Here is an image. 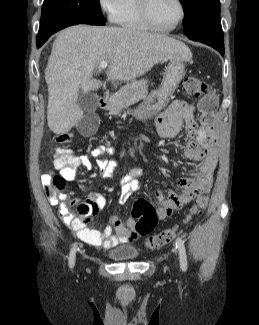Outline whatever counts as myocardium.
Segmentation results:
<instances>
[{
    "instance_id": "myocardium-1",
    "label": "myocardium",
    "mask_w": 259,
    "mask_h": 325,
    "mask_svg": "<svg viewBox=\"0 0 259 325\" xmlns=\"http://www.w3.org/2000/svg\"><path fill=\"white\" fill-rule=\"evenodd\" d=\"M150 2L151 0H139V8H140L141 16L144 22L146 23V25L150 29L158 32L168 33L174 31L183 22L186 15V11H185V5L182 0H176L179 6L180 14L175 24L168 28L159 27L153 22L150 15Z\"/></svg>"
}]
</instances>
